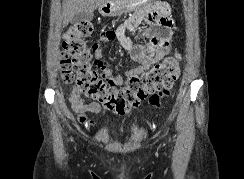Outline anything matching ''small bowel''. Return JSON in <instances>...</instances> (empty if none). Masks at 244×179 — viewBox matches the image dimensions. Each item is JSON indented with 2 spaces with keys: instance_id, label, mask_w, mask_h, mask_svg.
Segmentation results:
<instances>
[{
  "instance_id": "1",
  "label": "small bowel",
  "mask_w": 244,
  "mask_h": 179,
  "mask_svg": "<svg viewBox=\"0 0 244 179\" xmlns=\"http://www.w3.org/2000/svg\"><path fill=\"white\" fill-rule=\"evenodd\" d=\"M133 18H127L116 30L103 31L92 45L96 65L112 86H120L130 74L147 71L155 63L163 59L170 51L175 39L174 22L171 18L170 6L163 1L155 3H139ZM127 30L137 31L135 40L126 35ZM141 38L145 44L136 40ZM117 41L119 46L136 65L125 74L115 73L104 59V51L108 44ZM69 102L77 114L78 121L86 126L92 122L86 112L98 114L102 107L98 103H87L83 92L73 86L69 94Z\"/></svg>"
}]
</instances>
